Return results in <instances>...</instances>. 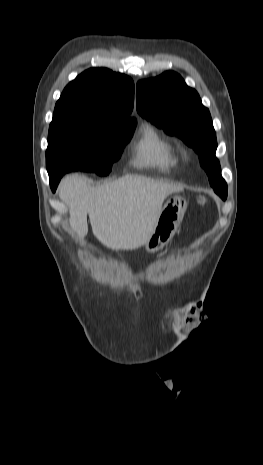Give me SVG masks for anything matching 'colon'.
I'll list each match as a JSON object with an SVG mask.
<instances>
[{
    "label": "colon",
    "instance_id": "obj_1",
    "mask_svg": "<svg viewBox=\"0 0 263 465\" xmlns=\"http://www.w3.org/2000/svg\"><path fill=\"white\" fill-rule=\"evenodd\" d=\"M199 202L204 204L206 202V198L205 197H200Z\"/></svg>",
    "mask_w": 263,
    "mask_h": 465
}]
</instances>
